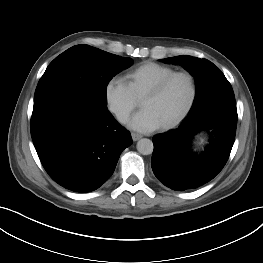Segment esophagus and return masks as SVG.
<instances>
[{
  "label": "esophagus",
  "mask_w": 263,
  "mask_h": 263,
  "mask_svg": "<svg viewBox=\"0 0 263 263\" xmlns=\"http://www.w3.org/2000/svg\"><path fill=\"white\" fill-rule=\"evenodd\" d=\"M131 136H132L133 141H138L139 139L142 138V135L135 133V132H132Z\"/></svg>",
  "instance_id": "obj_1"
}]
</instances>
